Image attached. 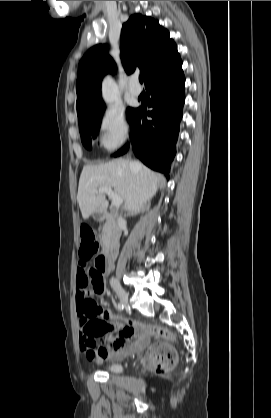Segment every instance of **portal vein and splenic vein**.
<instances>
[{
	"mask_svg": "<svg viewBox=\"0 0 271 418\" xmlns=\"http://www.w3.org/2000/svg\"><path fill=\"white\" fill-rule=\"evenodd\" d=\"M96 193H106L112 200V205L118 207L122 203V199L115 194L110 187H100L95 190Z\"/></svg>",
	"mask_w": 271,
	"mask_h": 418,
	"instance_id": "18ae733b",
	"label": "portal vein and splenic vein"
}]
</instances>
